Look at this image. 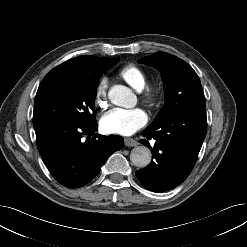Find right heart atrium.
Returning a JSON list of instances; mask_svg holds the SVG:
<instances>
[{"mask_svg": "<svg viewBox=\"0 0 247 247\" xmlns=\"http://www.w3.org/2000/svg\"><path fill=\"white\" fill-rule=\"evenodd\" d=\"M95 103L100 108L107 106V80L102 79L98 83L95 91Z\"/></svg>", "mask_w": 247, "mask_h": 247, "instance_id": "obj_1", "label": "right heart atrium"}]
</instances>
